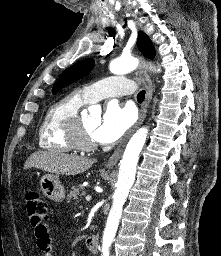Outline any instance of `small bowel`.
I'll return each instance as SVG.
<instances>
[{
    "label": "small bowel",
    "mask_w": 221,
    "mask_h": 256,
    "mask_svg": "<svg viewBox=\"0 0 221 256\" xmlns=\"http://www.w3.org/2000/svg\"><path fill=\"white\" fill-rule=\"evenodd\" d=\"M35 236L37 239V245L39 249L44 253V256H53V243L49 234L48 227L46 226L42 230H35Z\"/></svg>",
    "instance_id": "1"
}]
</instances>
